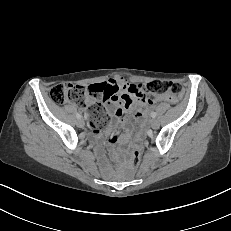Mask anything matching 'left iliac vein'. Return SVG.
I'll list each match as a JSON object with an SVG mask.
<instances>
[{
  "label": "left iliac vein",
  "instance_id": "left-iliac-vein-1",
  "mask_svg": "<svg viewBox=\"0 0 231 231\" xmlns=\"http://www.w3.org/2000/svg\"><path fill=\"white\" fill-rule=\"evenodd\" d=\"M150 126L152 129H158L159 126H160V123L158 120L156 119H153L151 122H150Z\"/></svg>",
  "mask_w": 231,
  "mask_h": 231
}]
</instances>
